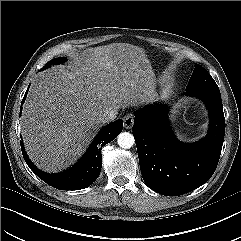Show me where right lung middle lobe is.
Segmentation results:
<instances>
[{
  "label": "right lung middle lobe",
  "mask_w": 241,
  "mask_h": 241,
  "mask_svg": "<svg viewBox=\"0 0 241 241\" xmlns=\"http://www.w3.org/2000/svg\"><path fill=\"white\" fill-rule=\"evenodd\" d=\"M66 61L65 57H61V58H55L53 60H51L50 62H48L41 70H44L48 67H50L52 64H59V63H63Z\"/></svg>",
  "instance_id": "right-lung-middle-lobe-1"
}]
</instances>
